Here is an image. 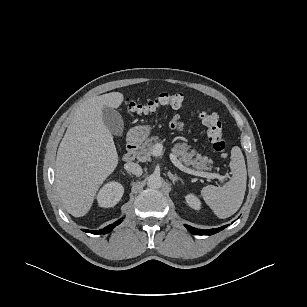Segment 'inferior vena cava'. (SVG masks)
<instances>
[{"label":"inferior vena cava","mask_w":307,"mask_h":307,"mask_svg":"<svg viewBox=\"0 0 307 307\" xmlns=\"http://www.w3.org/2000/svg\"><path fill=\"white\" fill-rule=\"evenodd\" d=\"M125 170L128 172L136 175V176H141L142 175V168L139 164L134 163V162H128L124 165Z\"/></svg>","instance_id":"inferior-vena-cava-1"}]
</instances>
